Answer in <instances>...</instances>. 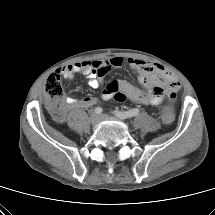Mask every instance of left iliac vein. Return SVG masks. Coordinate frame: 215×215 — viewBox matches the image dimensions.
<instances>
[{
    "label": "left iliac vein",
    "instance_id": "left-iliac-vein-1",
    "mask_svg": "<svg viewBox=\"0 0 215 215\" xmlns=\"http://www.w3.org/2000/svg\"><path fill=\"white\" fill-rule=\"evenodd\" d=\"M111 118H113V117L106 115V114H103L100 116V119H102V120H107V119H111Z\"/></svg>",
    "mask_w": 215,
    "mask_h": 215
}]
</instances>
